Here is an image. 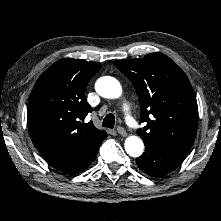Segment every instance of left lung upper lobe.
<instances>
[{"mask_svg": "<svg viewBox=\"0 0 221 221\" xmlns=\"http://www.w3.org/2000/svg\"><path fill=\"white\" fill-rule=\"evenodd\" d=\"M138 95L143 141L165 145L188 153L198 125V108L192 86L169 57L155 52L141 59L115 62Z\"/></svg>", "mask_w": 221, "mask_h": 221, "instance_id": "obj_1", "label": "left lung upper lobe"}]
</instances>
